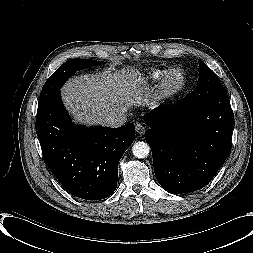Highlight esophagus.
Segmentation results:
<instances>
[{
  "instance_id": "obj_1",
  "label": "esophagus",
  "mask_w": 253,
  "mask_h": 253,
  "mask_svg": "<svg viewBox=\"0 0 253 253\" xmlns=\"http://www.w3.org/2000/svg\"><path fill=\"white\" fill-rule=\"evenodd\" d=\"M135 130L138 134L143 135L145 133V127L142 124H136Z\"/></svg>"
}]
</instances>
